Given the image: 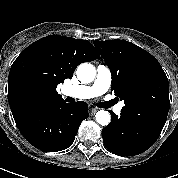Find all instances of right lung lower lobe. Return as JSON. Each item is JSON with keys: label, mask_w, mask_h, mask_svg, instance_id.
Returning a JSON list of instances; mask_svg holds the SVG:
<instances>
[{"label": "right lung lower lobe", "mask_w": 178, "mask_h": 178, "mask_svg": "<svg viewBox=\"0 0 178 178\" xmlns=\"http://www.w3.org/2000/svg\"><path fill=\"white\" fill-rule=\"evenodd\" d=\"M88 116L87 103H65L62 100L28 109L14 120L22 135L34 147L57 152L73 143L81 122Z\"/></svg>", "instance_id": "98d812e1"}]
</instances>
